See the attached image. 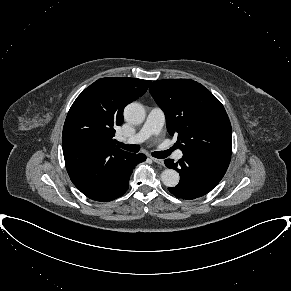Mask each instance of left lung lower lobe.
I'll return each mask as SVG.
<instances>
[{
	"mask_svg": "<svg viewBox=\"0 0 291 291\" xmlns=\"http://www.w3.org/2000/svg\"><path fill=\"white\" fill-rule=\"evenodd\" d=\"M231 156L215 154H183V158L165 160L168 168L180 174L176 187L168 188L178 198L195 199L210 192L223 178Z\"/></svg>",
	"mask_w": 291,
	"mask_h": 291,
	"instance_id": "left-lung-lower-lobe-1",
	"label": "left lung lower lobe"
}]
</instances>
